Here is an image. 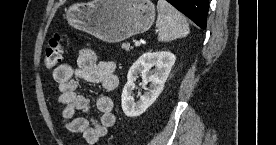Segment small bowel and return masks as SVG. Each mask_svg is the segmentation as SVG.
Masks as SVG:
<instances>
[{"mask_svg":"<svg viewBox=\"0 0 276 145\" xmlns=\"http://www.w3.org/2000/svg\"><path fill=\"white\" fill-rule=\"evenodd\" d=\"M114 71L115 63L113 61H97L95 52L85 48L78 54L76 67L70 64H61L52 73L54 81L58 84V102L62 107V121L65 127L72 133L82 134L90 145L96 144L115 124L114 102L110 96L102 94L96 100L98 119H90L85 116L75 117L76 111L83 113L89 111V99L77 91L78 79L100 84L104 90L112 91L118 84Z\"/></svg>","mask_w":276,"mask_h":145,"instance_id":"1","label":"small bowel"}]
</instances>
